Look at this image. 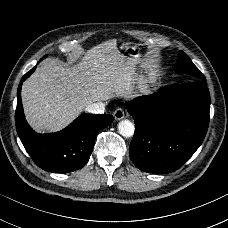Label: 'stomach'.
Segmentation results:
<instances>
[{"instance_id":"0dacf381","label":"stomach","mask_w":228,"mask_h":228,"mask_svg":"<svg viewBox=\"0 0 228 228\" xmlns=\"http://www.w3.org/2000/svg\"><path fill=\"white\" fill-rule=\"evenodd\" d=\"M125 52L127 53V55L133 59H135L137 62L141 59V52H140V48L138 47V45H125L124 47ZM152 83H155V81L152 79L151 80Z\"/></svg>"}]
</instances>
